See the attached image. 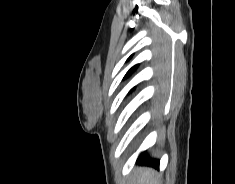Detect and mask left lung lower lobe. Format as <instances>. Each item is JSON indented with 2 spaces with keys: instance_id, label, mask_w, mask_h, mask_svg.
Masks as SVG:
<instances>
[{
  "instance_id": "0a47b994",
  "label": "left lung lower lobe",
  "mask_w": 235,
  "mask_h": 184,
  "mask_svg": "<svg viewBox=\"0 0 235 184\" xmlns=\"http://www.w3.org/2000/svg\"><path fill=\"white\" fill-rule=\"evenodd\" d=\"M138 164H147L154 168H159V160L157 159H150L146 156V153H141V155L137 159Z\"/></svg>"
}]
</instances>
